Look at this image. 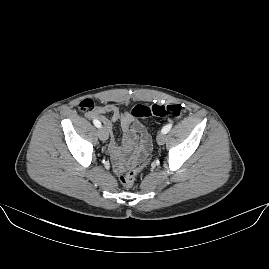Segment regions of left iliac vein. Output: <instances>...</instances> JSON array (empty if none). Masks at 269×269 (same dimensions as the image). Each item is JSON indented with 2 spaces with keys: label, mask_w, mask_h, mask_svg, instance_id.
I'll return each mask as SVG.
<instances>
[{
  "label": "left iliac vein",
  "mask_w": 269,
  "mask_h": 269,
  "mask_svg": "<svg viewBox=\"0 0 269 269\" xmlns=\"http://www.w3.org/2000/svg\"><path fill=\"white\" fill-rule=\"evenodd\" d=\"M165 138H166V136H165L164 133H162V132L159 133V134L157 135V138H156L157 143H158L159 145L164 144V142H165Z\"/></svg>",
  "instance_id": "left-iliac-vein-1"
}]
</instances>
